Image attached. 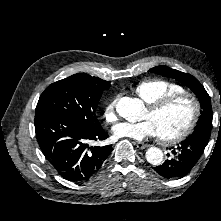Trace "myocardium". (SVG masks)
<instances>
[{
    "label": "myocardium",
    "mask_w": 221,
    "mask_h": 221,
    "mask_svg": "<svg viewBox=\"0 0 221 221\" xmlns=\"http://www.w3.org/2000/svg\"><path fill=\"white\" fill-rule=\"evenodd\" d=\"M180 100H187L190 103L191 106V116L186 124V126L177 134L169 136V137H163L158 135L159 140L164 144H175L178 142L183 141L186 139L194 130L199 116H200V103L198 99L191 93L188 92H181V93H175L171 95L164 96L155 102L149 104L148 110L151 113H157L166 108L167 106L180 101Z\"/></svg>",
    "instance_id": "myocardium-1"
}]
</instances>
